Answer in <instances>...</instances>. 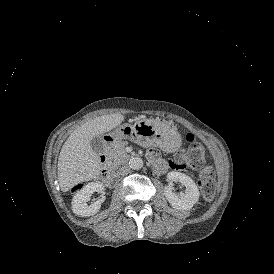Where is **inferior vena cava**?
I'll list each match as a JSON object with an SVG mask.
<instances>
[{
	"label": "inferior vena cava",
	"instance_id": "inferior-vena-cava-1",
	"mask_svg": "<svg viewBox=\"0 0 274 274\" xmlns=\"http://www.w3.org/2000/svg\"><path fill=\"white\" fill-rule=\"evenodd\" d=\"M129 171H130L129 166L128 165H124V166H122V167H120L118 169L117 173H118V175L124 176V175H127L129 173Z\"/></svg>",
	"mask_w": 274,
	"mask_h": 274
}]
</instances>
